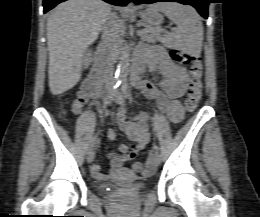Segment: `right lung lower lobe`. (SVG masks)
Segmentation results:
<instances>
[{
    "mask_svg": "<svg viewBox=\"0 0 260 217\" xmlns=\"http://www.w3.org/2000/svg\"><path fill=\"white\" fill-rule=\"evenodd\" d=\"M66 0H43V12L46 13L47 11L54 8L58 3L63 2ZM110 4L118 5V6H126L131 0H104Z\"/></svg>",
    "mask_w": 260,
    "mask_h": 217,
    "instance_id": "1",
    "label": "right lung lower lobe"
}]
</instances>
